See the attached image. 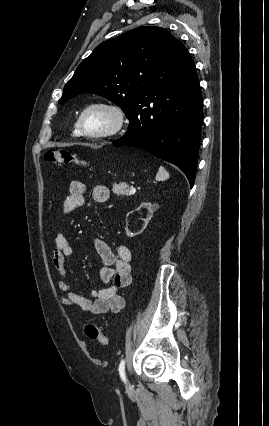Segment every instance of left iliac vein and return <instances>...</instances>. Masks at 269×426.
Returning a JSON list of instances; mask_svg holds the SVG:
<instances>
[{
	"label": "left iliac vein",
	"instance_id": "obj_1",
	"mask_svg": "<svg viewBox=\"0 0 269 426\" xmlns=\"http://www.w3.org/2000/svg\"><path fill=\"white\" fill-rule=\"evenodd\" d=\"M126 387H127V388H129V387H130V384H129V383H127V384H126Z\"/></svg>",
	"mask_w": 269,
	"mask_h": 426
}]
</instances>
